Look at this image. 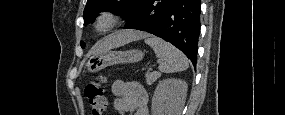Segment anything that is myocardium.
<instances>
[{
    "mask_svg": "<svg viewBox=\"0 0 285 115\" xmlns=\"http://www.w3.org/2000/svg\"><path fill=\"white\" fill-rule=\"evenodd\" d=\"M120 22V16L113 10L99 12L94 20V28L101 33L112 31Z\"/></svg>",
    "mask_w": 285,
    "mask_h": 115,
    "instance_id": "f54148a6",
    "label": "myocardium"
}]
</instances>
